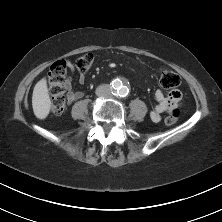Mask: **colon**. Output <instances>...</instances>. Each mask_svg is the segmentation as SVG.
<instances>
[{"label": "colon", "instance_id": "5ec220e1", "mask_svg": "<svg viewBox=\"0 0 222 222\" xmlns=\"http://www.w3.org/2000/svg\"><path fill=\"white\" fill-rule=\"evenodd\" d=\"M95 57L92 53L81 55L76 61V67L81 73L87 72L93 65ZM69 63L66 60H58L54 62L49 69L48 81L49 90L52 96L51 111L54 115H60L66 107V89L65 81ZM160 85L168 90H176L181 83L179 74L171 69L164 68L159 75ZM180 117V110L171 109L169 115L165 119L167 126L174 125Z\"/></svg>", "mask_w": 222, "mask_h": 222}]
</instances>
